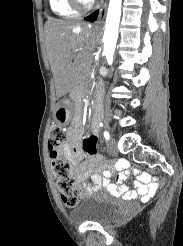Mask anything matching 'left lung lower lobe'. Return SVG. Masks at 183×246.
<instances>
[{
    "mask_svg": "<svg viewBox=\"0 0 183 246\" xmlns=\"http://www.w3.org/2000/svg\"><path fill=\"white\" fill-rule=\"evenodd\" d=\"M97 15H98V12H95V13H93V14H91V15L87 16V17H86V18H84V19H85V20H87V21H91V22H93V21H95V20H96Z\"/></svg>",
    "mask_w": 183,
    "mask_h": 246,
    "instance_id": "1",
    "label": "left lung lower lobe"
}]
</instances>
